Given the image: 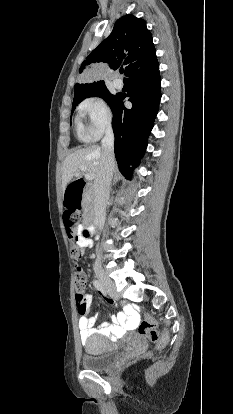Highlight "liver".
<instances>
[{
	"label": "liver",
	"instance_id": "1",
	"mask_svg": "<svg viewBox=\"0 0 233 414\" xmlns=\"http://www.w3.org/2000/svg\"><path fill=\"white\" fill-rule=\"evenodd\" d=\"M102 148L98 145L78 149L69 154L63 163L62 169V189L65 191L73 177H81V167H86V172L92 174L94 178L98 175L101 166Z\"/></svg>",
	"mask_w": 233,
	"mask_h": 414
}]
</instances>
